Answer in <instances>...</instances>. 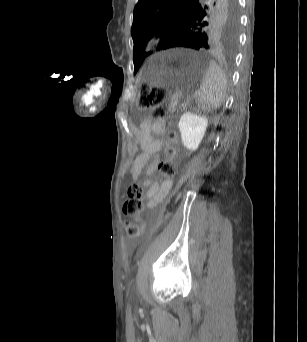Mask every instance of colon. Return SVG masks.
<instances>
[{"label": "colon", "mask_w": 307, "mask_h": 342, "mask_svg": "<svg viewBox=\"0 0 307 342\" xmlns=\"http://www.w3.org/2000/svg\"><path fill=\"white\" fill-rule=\"evenodd\" d=\"M139 92L141 95L140 106L149 109L153 118L161 121L167 116L165 107V95L168 92L167 87H150L149 82L139 83ZM171 140L175 141V133L170 135ZM178 154L176 147L166 148V158L159 163V172L164 176L174 175V164L172 159ZM151 183V179L146 177L144 183H134L128 187L127 198L123 203V211L126 216L131 217L126 222V234L130 238H138L145 231V224L140 220V214L144 210L143 195L145 188Z\"/></svg>", "instance_id": "5ec220e1"}]
</instances>
